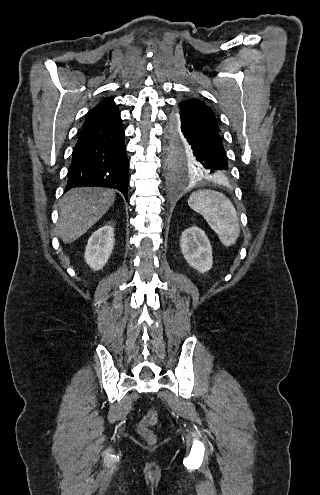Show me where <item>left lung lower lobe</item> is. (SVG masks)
I'll use <instances>...</instances> for the list:
<instances>
[{"label":"left lung lower lobe","mask_w":320,"mask_h":495,"mask_svg":"<svg viewBox=\"0 0 320 495\" xmlns=\"http://www.w3.org/2000/svg\"><path fill=\"white\" fill-rule=\"evenodd\" d=\"M173 115V114H172ZM181 132L185 139L200 151V159L211 178H223L230 172L222 143L221 132L209 122L188 111L177 113ZM173 118H170L169 132Z\"/></svg>","instance_id":"obj_1"}]
</instances>
